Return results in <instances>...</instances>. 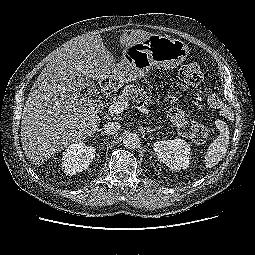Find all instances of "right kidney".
I'll return each mask as SVG.
<instances>
[{"instance_id": "ca27d5eb", "label": "right kidney", "mask_w": 255, "mask_h": 255, "mask_svg": "<svg viewBox=\"0 0 255 255\" xmlns=\"http://www.w3.org/2000/svg\"><path fill=\"white\" fill-rule=\"evenodd\" d=\"M94 157V147L83 142L73 143L62 153V169L66 174L75 175L86 170Z\"/></svg>"}]
</instances>
